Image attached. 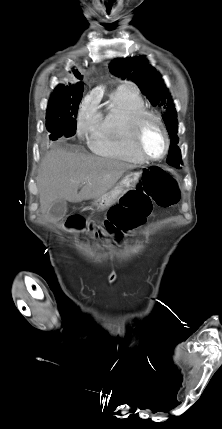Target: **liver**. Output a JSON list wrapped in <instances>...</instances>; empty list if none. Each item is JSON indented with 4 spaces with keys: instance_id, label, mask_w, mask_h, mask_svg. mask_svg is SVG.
Here are the masks:
<instances>
[{
    "instance_id": "6515ba94",
    "label": "liver",
    "mask_w": 222,
    "mask_h": 429,
    "mask_svg": "<svg viewBox=\"0 0 222 429\" xmlns=\"http://www.w3.org/2000/svg\"><path fill=\"white\" fill-rule=\"evenodd\" d=\"M135 167L115 159L51 150L42 160L37 178L40 210L47 214L57 201L81 202L100 197ZM80 186L83 187L78 193Z\"/></svg>"
}]
</instances>
